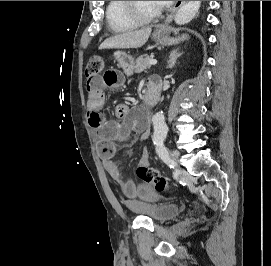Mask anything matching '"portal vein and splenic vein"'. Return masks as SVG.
<instances>
[{
    "label": "portal vein and splenic vein",
    "instance_id": "18ae733b",
    "mask_svg": "<svg viewBox=\"0 0 271 266\" xmlns=\"http://www.w3.org/2000/svg\"><path fill=\"white\" fill-rule=\"evenodd\" d=\"M148 63H149L150 66H154V65L157 64V60L151 59V60H149Z\"/></svg>",
    "mask_w": 271,
    "mask_h": 266
}]
</instances>
